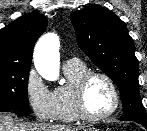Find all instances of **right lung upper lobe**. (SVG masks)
<instances>
[{
  "instance_id": "obj_1",
  "label": "right lung upper lobe",
  "mask_w": 147,
  "mask_h": 131,
  "mask_svg": "<svg viewBox=\"0 0 147 131\" xmlns=\"http://www.w3.org/2000/svg\"><path fill=\"white\" fill-rule=\"evenodd\" d=\"M46 27V17L32 12L1 29L0 65L30 67L34 44Z\"/></svg>"
}]
</instances>
